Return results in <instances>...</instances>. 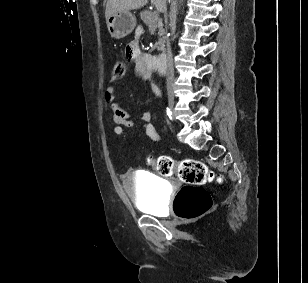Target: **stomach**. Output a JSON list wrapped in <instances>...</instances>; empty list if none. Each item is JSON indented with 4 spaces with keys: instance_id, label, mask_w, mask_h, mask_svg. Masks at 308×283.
Here are the masks:
<instances>
[{
    "instance_id": "obj_1",
    "label": "stomach",
    "mask_w": 308,
    "mask_h": 283,
    "mask_svg": "<svg viewBox=\"0 0 308 283\" xmlns=\"http://www.w3.org/2000/svg\"><path fill=\"white\" fill-rule=\"evenodd\" d=\"M111 37L121 39L129 35L136 26L135 16L128 10L116 12L106 20Z\"/></svg>"
}]
</instances>
